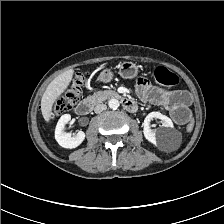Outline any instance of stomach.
I'll return each instance as SVG.
<instances>
[{
    "mask_svg": "<svg viewBox=\"0 0 224 224\" xmlns=\"http://www.w3.org/2000/svg\"><path fill=\"white\" fill-rule=\"evenodd\" d=\"M119 75L124 79H133L138 75V68L135 63L125 61L119 65ZM113 78L111 68H105L99 75L98 80L102 82H110Z\"/></svg>",
    "mask_w": 224,
    "mask_h": 224,
    "instance_id": "obj_1",
    "label": "stomach"
}]
</instances>
